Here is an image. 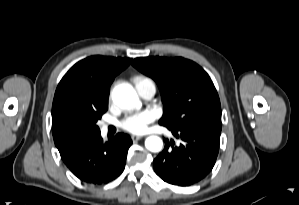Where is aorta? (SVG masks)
<instances>
[{
    "label": "aorta",
    "instance_id": "aorta-1",
    "mask_svg": "<svg viewBox=\"0 0 299 205\" xmlns=\"http://www.w3.org/2000/svg\"><path fill=\"white\" fill-rule=\"evenodd\" d=\"M112 99L116 105L131 110L140 105L136 91L129 84H120L113 89ZM145 147L151 152H159L163 141L158 136H150L145 140Z\"/></svg>",
    "mask_w": 299,
    "mask_h": 205
}]
</instances>
